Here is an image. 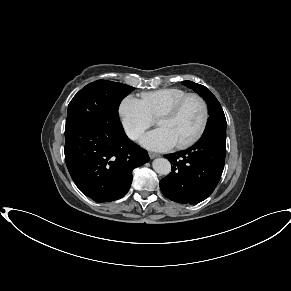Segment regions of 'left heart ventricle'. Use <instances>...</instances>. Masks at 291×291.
Wrapping results in <instances>:
<instances>
[{
	"mask_svg": "<svg viewBox=\"0 0 291 291\" xmlns=\"http://www.w3.org/2000/svg\"><path fill=\"white\" fill-rule=\"evenodd\" d=\"M202 103L196 99H189L181 111L170 119L157 121V126L163 128L176 144L182 143L196 134L203 120Z\"/></svg>",
	"mask_w": 291,
	"mask_h": 291,
	"instance_id": "left-heart-ventricle-1",
	"label": "left heart ventricle"
}]
</instances>
